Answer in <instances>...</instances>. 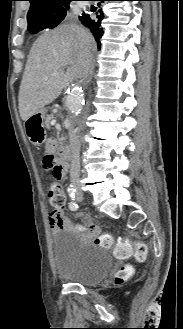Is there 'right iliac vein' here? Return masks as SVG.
Wrapping results in <instances>:
<instances>
[{
	"mask_svg": "<svg viewBox=\"0 0 183 329\" xmlns=\"http://www.w3.org/2000/svg\"><path fill=\"white\" fill-rule=\"evenodd\" d=\"M78 196H82V194L80 193V194H78Z\"/></svg>",
	"mask_w": 183,
	"mask_h": 329,
	"instance_id": "obj_1",
	"label": "right iliac vein"
}]
</instances>
